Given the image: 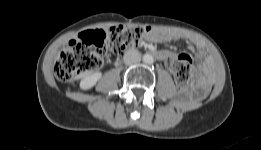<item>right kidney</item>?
Instances as JSON below:
<instances>
[{
    "label": "right kidney",
    "instance_id": "ca27d5eb",
    "mask_svg": "<svg viewBox=\"0 0 261 150\" xmlns=\"http://www.w3.org/2000/svg\"><path fill=\"white\" fill-rule=\"evenodd\" d=\"M102 73L101 72H96L91 75L86 76L83 78L80 82V88L83 90H88L91 89L97 81L101 78Z\"/></svg>",
    "mask_w": 261,
    "mask_h": 150
}]
</instances>
